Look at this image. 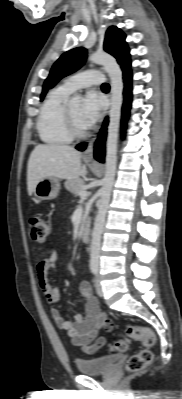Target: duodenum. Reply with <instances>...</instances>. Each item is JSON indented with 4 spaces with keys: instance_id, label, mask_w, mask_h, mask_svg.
Returning <instances> with one entry per match:
<instances>
[{
    "instance_id": "obj_1",
    "label": "duodenum",
    "mask_w": 182,
    "mask_h": 399,
    "mask_svg": "<svg viewBox=\"0 0 182 399\" xmlns=\"http://www.w3.org/2000/svg\"><path fill=\"white\" fill-rule=\"evenodd\" d=\"M89 237H90V226L88 224H85L81 229V239L83 241H88Z\"/></svg>"
}]
</instances>
